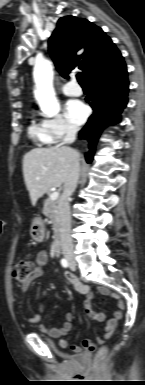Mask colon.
Listing matches in <instances>:
<instances>
[{
    "label": "colon",
    "mask_w": 145,
    "mask_h": 385,
    "mask_svg": "<svg viewBox=\"0 0 145 385\" xmlns=\"http://www.w3.org/2000/svg\"><path fill=\"white\" fill-rule=\"evenodd\" d=\"M35 270V266L33 261L28 259L19 260L15 263L13 268V277L14 279L22 284H28L33 276ZM89 351H93L95 347L93 345H88L86 347ZM107 353V349L105 347L100 348L97 352V360L96 363L99 364L102 361Z\"/></svg>",
    "instance_id": "colon-1"
}]
</instances>
